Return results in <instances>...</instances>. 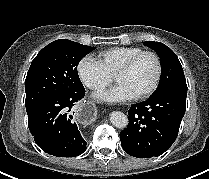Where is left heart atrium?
Masks as SVG:
<instances>
[{
    "label": "left heart atrium",
    "mask_w": 209,
    "mask_h": 179,
    "mask_svg": "<svg viewBox=\"0 0 209 179\" xmlns=\"http://www.w3.org/2000/svg\"><path fill=\"white\" fill-rule=\"evenodd\" d=\"M96 97L107 103H118L130 100L134 95L122 84L96 95Z\"/></svg>",
    "instance_id": "left-heart-atrium-1"
}]
</instances>
